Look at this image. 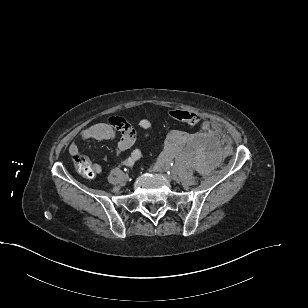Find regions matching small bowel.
I'll list each match as a JSON object with an SVG mask.
<instances>
[{
  "mask_svg": "<svg viewBox=\"0 0 308 308\" xmlns=\"http://www.w3.org/2000/svg\"><path fill=\"white\" fill-rule=\"evenodd\" d=\"M139 126L144 131V137L147 138L151 123L148 119L142 118L139 120ZM88 140L98 141H116L117 152H122L130 149L136 141V131L134 128L123 118L112 116L107 122L93 124L80 133L76 142L72 143L69 147V153L74 156L79 153V144ZM142 156V150L135 148L130 155L123 157L121 163L124 166H132ZM94 174H100L102 168L99 164L93 165Z\"/></svg>",
  "mask_w": 308,
  "mask_h": 308,
  "instance_id": "1",
  "label": "small bowel"
}]
</instances>
